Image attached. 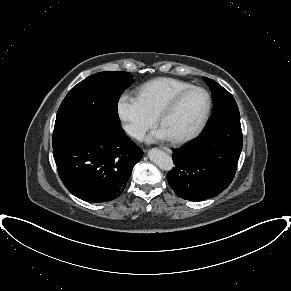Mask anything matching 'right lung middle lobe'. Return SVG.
I'll use <instances>...</instances> for the list:
<instances>
[{
	"mask_svg": "<svg viewBox=\"0 0 291 291\" xmlns=\"http://www.w3.org/2000/svg\"><path fill=\"white\" fill-rule=\"evenodd\" d=\"M129 72H99L74 86L62 101L53 131V147L88 130L121 128L118 101L134 82Z\"/></svg>",
	"mask_w": 291,
	"mask_h": 291,
	"instance_id": "right-lung-middle-lobe-1",
	"label": "right lung middle lobe"
}]
</instances>
